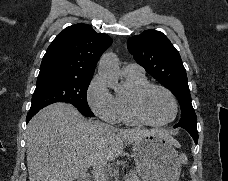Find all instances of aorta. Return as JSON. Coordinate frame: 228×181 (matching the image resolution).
I'll use <instances>...</instances> for the list:
<instances>
[{
	"mask_svg": "<svg viewBox=\"0 0 228 181\" xmlns=\"http://www.w3.org/2000/svg\"><path fill=\"white\" fill-rule=\"evenodd\" d=\"M99 75L107 82L108 86L114 90L119 89L118 78L120 70L118 59L114 53L108 52L102 55L98 67Z\"/></svg>",
	"mask_w": 228,
	"mask_h": 181,
	"instance_id": "aorta-1",
	"label": "aorta"
}]
</instances>
